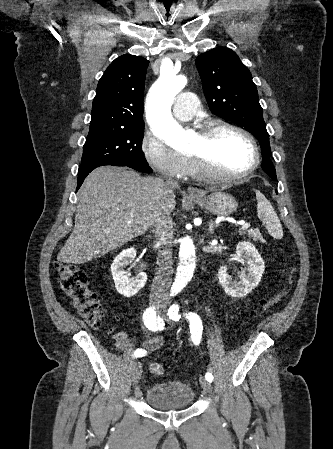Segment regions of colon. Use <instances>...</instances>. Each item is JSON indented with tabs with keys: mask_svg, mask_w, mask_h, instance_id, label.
I'll use <instances>...</instances> for the list:
<instances>
[{
	"mask_svg": "<svg viewBox=\"0 0 333 449\" xmlns=\"http://www.w3.org/2000/svg\"><path fill=\"white\" fill-rule=\"evenodd\" d=\"M55 268L60 289L70 297L73 306L84 320L92 328H99L102 323L103 310L97 301L96 294L88 288L86 273L74 265L61 262H57ZM294 271V264H289L284 269L287 283L274 297L260 300V311L255 312L254 316L270 311L286 297L291 287ZM150 371L155 375H160L163 373L164 367L161 363L154 362L150 365Z\"/></svg>",
	"mask_w": 333,
	"mask_h": 449,
	"instance_id": "5ec220e1",
	"label": "colon"
}]
</instances>
